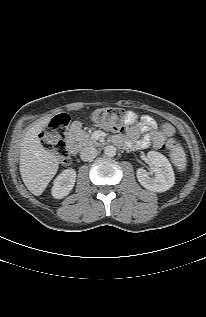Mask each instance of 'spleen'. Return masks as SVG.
I'll list each match as a JSON object with an SVG mask.
<instances>
[{
	"mask_svg": "<svg viewBox=\"0 0 206 317\" xmlns=\"http://www.w3.org/2000/svg\"><path fill=\"white\" fill-rule=\"evenodd\" d=\"M170 157L174 165L183 170L186 167V154L181 146H177L171 153Z\"/></svg>",
	"mask_w": 206,
	"mask_h": 317,
	"instance_id": "1",
	"label": "spleen"
}]
</instances>
